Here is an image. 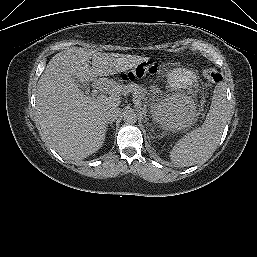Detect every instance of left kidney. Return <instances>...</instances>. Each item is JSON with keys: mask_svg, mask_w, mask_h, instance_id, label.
<instances>
[{"mask_svg": "<svg viewBox=\"0 0 257 257\" xmlns=\"http://www.w3.org/2000/svg\"><path fill=\"white\" fill-rule=\"evenodd\" d=\"M152 117L166 130L178 131L191 126L196 120V113L189 97L175 94L155 104Z\"/></svg>", "mask_w": 257, "mask_h": 257, "instance_id": "5707ae66", "label": "left kidney"}]
</instances>
